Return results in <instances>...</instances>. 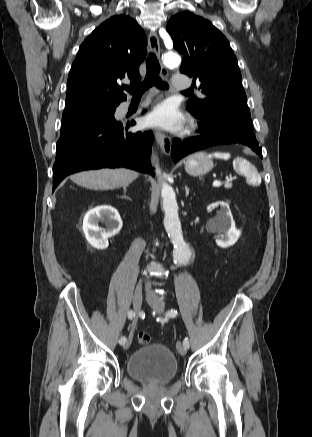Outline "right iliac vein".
<instances>
[{
	"label": "right iliac vein",
	"mask_w": 312,
	"mask_h": 437,
	"mask_svg": "<svg viewBox=\"0 0 312 437\" xmlns=\"http://www.w3.org/2000/svg\"><path fill=\"white\" fill-rule=\"evenodd\" d=\"M142 306V291L141 287L138 286L135 289L134 295H133V308L136 312H139L141 310ZM132 336L130 335L128 340L123 344L124 349H128L131 344Z\"/></svg>",
	"instance_id": "1"
}]
</instances>
